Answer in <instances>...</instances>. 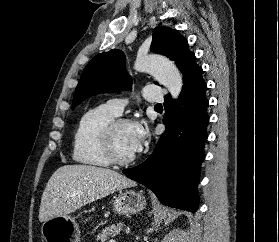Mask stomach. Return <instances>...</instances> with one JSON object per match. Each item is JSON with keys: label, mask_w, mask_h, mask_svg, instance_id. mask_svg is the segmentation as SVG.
<instances>
[{"label": "stomach", "mask_w": 279, "mask_h": 242, "mask_svg": "<svg viewBox=\"0 0 279 242\" xmlns=\"http://www.w3.org/2000/svg\"><path fill=\"white\" fill-rule=\"evenodd\" d=\"M146 206L145 197L134 190L121 192L113 202L118 214L130 215L141 212ZM46 242H79L80 230L74 217L64 215L48 219L41 227Z\"/></svg>", "instance_id": "obj_1"}]
</instances>
